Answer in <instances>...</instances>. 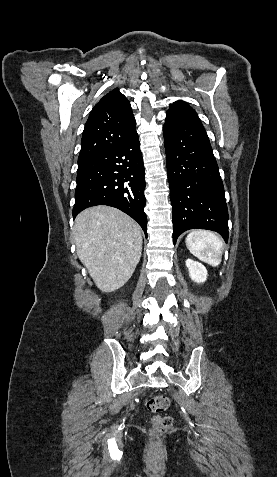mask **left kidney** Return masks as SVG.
Returning <instances> with one entry per match:
<instances>
[{"mask_svg":"<svg viewBox=\"0 0 277 477\" xmlns=\"http://www.w3.org/2000/svg\"><path fill=\"white\" fill-rule=\"evenodd\" d=\"M186 266L189 271V276L194 282L203 283L206 281L208 273L203 264L192 259H187Z\"/></svg>","mask_w":277,"mask_h":477,"instance_id":"left-kidney-1","label":"left kidney"}]
</instances>
